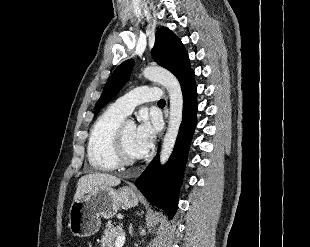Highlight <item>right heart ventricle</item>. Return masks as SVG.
Here are the masks:
<instances>
[{
  "label": "right heart ventricle",
  "instance_id": "e07e8e85",
  "mask_svg": "<svg viewBox=\"0 0 310 247\" xmlns=\"http://www.w3.org/2000/svg\"><path fill=\"white\" fill-rule=\"evenodd\" d=\"M125 115L113 105L108 107L93 124L87 147L91 166L99 171H113L118 167L115 155L117 130L123 123Z\"/></svg>",
  "mask_w": 310,
  "mask_h": 247
}]
</instances>
